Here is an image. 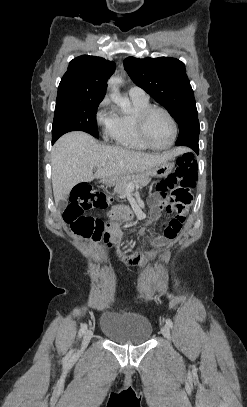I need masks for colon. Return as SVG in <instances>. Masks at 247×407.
Instances as JSON below:
<instances>
[{"label": "colon", "mask_w": 247, "mask_h": 407, "mask_svg": "<svg viewBox=\"0 0 247 407\" xmlns=\"http://www.w3.org/2000/svg\"><path fill=\"white\" fill-rule=\"evenodd\" d=\"M198 163L190 153L183 154L176 161L173 172L163 181L156 184V189L162 193H169L177 203L189 204L191 202V190L196 185ZM107 207L106 196L94 187L78 185L70 202L64 211V221L77 235L92 241H96L108 232V226L90 216L86 212Z\"/></svg>", "instance_id": "1"}]
</instances>
